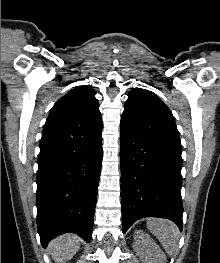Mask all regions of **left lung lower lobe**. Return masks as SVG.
Wrapping results in <instances>:
<instances>
[{"instance_id": "1", "label": "left lung lower lobe", "mask_w": 220, "mask_h": 263, "mask_svg": "<svg viewBox=\"0 0 220 263\" xmlns=\"http://www.w3.org/2000/svg\"><path fill=\"white\" fill-rule=\"evenodd\" d=\"M120 132L123 233L143 217L167 218L182 230L181 151L123 124Z\"/></svg>"}]
</instances>
